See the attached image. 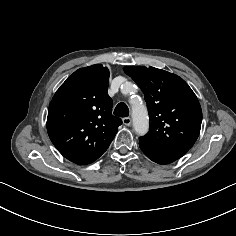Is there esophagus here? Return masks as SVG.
I'll list each match as a JSON object with an SVG mask.
<instances>
[{
    "mask_svg": "<svg viewBox=\"0 0 236 236\" xmlns=\"http://www.w3.org/2000/svg\"><path fill=\"white\" fill-rule=\"evenodd\" d=\"M122 121H123V124L126 125V126H130L131 123H132V120H131L130 117H125V118H123Z\"/></svg>",
    "mask_w": 236,
    "mask_h": 236,
    "instance_id": "obj_1",
    "label": "esophagus"
}]
</instances>
